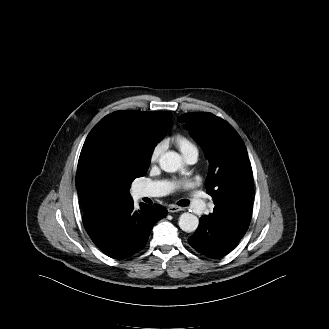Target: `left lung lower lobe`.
Wrapping results in <instances>:
<instances>
[{"mask_svg":"<svg viewBox=\"0 0 329 329\" xmlns=\"http://www.w3.org/2000/svg\"><path fill=\"white\" fill-rule=\"evenodd\" d=\"M251 210V191L226 206L215 207L213 213L200 218L189 244L210 258L227 255L246 233Z\"/></svg>","mask_w":329,"mask_h":329,"instance_id":"0a47b994","label":"left lung lower lobe"}]
</instances>
